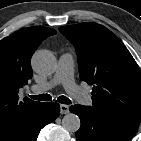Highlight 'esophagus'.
Segmentation results:
<instances>
[{
  "instance_id": "obj_1",
  "label": "esophagus",
  "mask_w": 141,
  "mask_h": 141,
  "mask_svg": "<svg viewBox=\"0 0 141 141\" xmlns=\"http://www.w3.org/2000/svg\"><path fill=\"white\" fill-rule=\"evenodd\" d=\"M60 113L61 114H67L69 113V106L65 104L60 105Z\"/></svg>"
}]
</instances>
